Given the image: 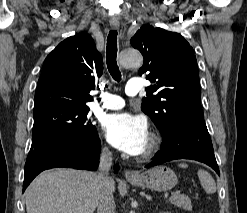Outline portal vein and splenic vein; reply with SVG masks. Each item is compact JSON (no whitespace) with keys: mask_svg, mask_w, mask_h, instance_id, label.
Returning <instances> with one entry per match:
<instances>
[{"mask_svg":"<svg viewBox=\"0 0 247 213\" xmlns=\"http://www.w3.org/2000/svg\"><path fill=\"white\" fill-rule=\"evenodd\" d=\"M176 196V193H172L171 196L168 198L169 201H171L172 199H174Z\"/></svg>","mask_w":247,"mask_h":213,"instance_id":"18ae733b","label":"portal vein and splenic vein"}]
</instances>
